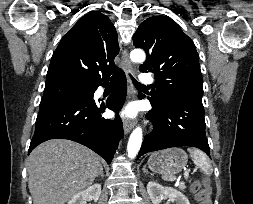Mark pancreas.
Segmentation results:
<instances>
[{
    "instance_id": "1",
    "label": "pancreas",
    "mask_w": 253,
    "mask_h": 204,
    "mask_svg": "<svg viewBox=\"0 0 253 204\" xmlns=\"http://www.w3.org/2000/svg\"><path fill=\"white\" fill-rule=\"evenodd\" d=\"M185 188H186V186H185L184 184L179 185V189H180V190L184 191Z\"/></svg>"
}]
</instances>
